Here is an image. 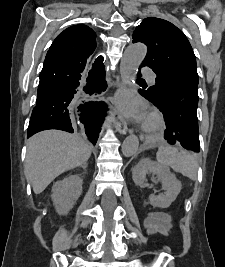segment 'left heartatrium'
I'll list each match as a JSON object with an SVG mask.
<instances>
[{
    "instance_id": "left-heart-atrium-1",
    "label": "left heart atrium",
    "mask_w": 225,
    "mask_h": 267,
    "mask_svg": "<svg viewBox=\"0 0 225 267\" xmlns=\"http://www.w3.org/2000/svg\"><path fill=\"white\" fill-rule=\"evenodd\" d=\"M115 103L118 108L128 117L135 121H144L145 105L133 93L121 91L115 97Z\"/></svg>"
}]
</instances>
